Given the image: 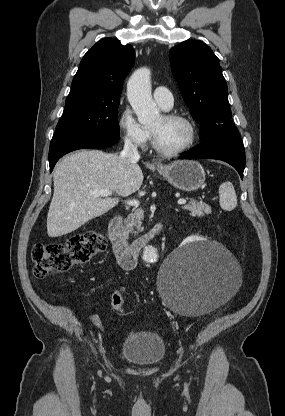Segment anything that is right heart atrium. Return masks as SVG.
Here are the masks:
<instances>
[{"mask_svg":"<svg viewBox=\"0 0 285 416\" xmlns=\"http://www.w3.org/2000/svg\"><path fill=\"white\" fill-rule=\"evenodd\" d=\"M119 128L128 143L140 149L147 148L151 139L150 131L135 118L129 107L121 111Z\"/></svg>","mask_w":285,"mask_h":416,"instance_id":"right-heart-atrium-1","label":"right heart atrium"}]
</instances>
